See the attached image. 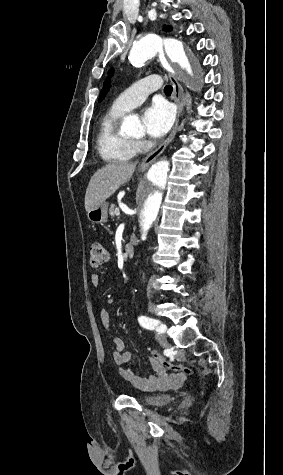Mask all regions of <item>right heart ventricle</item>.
I'll use <instances>...</instances> for the list:
<instances>
[{"instance_id":"e07e8e85","label":"right heart ventricle","mask_w":283,"mask_h":475,"mask_svg":"<svg viewBox=\"0 0 283 475\" xmlns=\"http://www.w3.org/2000/svg\"><path fill=\"white\" fill-rule=\"evenodd\" d=\"M124 113L112 105L99 120L96 142L107 162L130 160L137 153L135 143L120 130L119 120Z\"/></svg>"}]
</instances>
